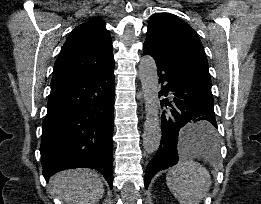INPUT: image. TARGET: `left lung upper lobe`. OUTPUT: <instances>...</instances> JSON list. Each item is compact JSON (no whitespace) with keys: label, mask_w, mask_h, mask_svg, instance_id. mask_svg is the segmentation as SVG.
<instances>
[{"label":"left lung upper lobe","mask_w":261,"mask_h":204,"mask_svg":"<svg viewBox=\"0 0 261 204\" xmlns=\"http://www.w3.org/2000/svg\"><path fill=\"white\" fill-rule=\"evenodd\" d=\"M144 45L211 81L208 61L196 31L177 16L170 13L154 16Z\"/></svg>","instance_id":"5c2ea615"}]
</instances>
